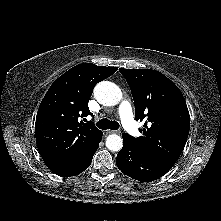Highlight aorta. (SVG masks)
<instances>
[{
  "label": "aorta",
  "instance_id": "aorta-1",
  "mask_svg": "<svg viewBox=\"0 0 221 221\" xmlns=\"http://www.w3.org/2000/svg\"><path fill=\"white\" fill-rule=\"evenodd\" d=\"M94 96L100 104L114 106L122 99V92L116 84L102 81L94 88ZM106 147L114 152L120 151L123 147V140L119 135L111 134L106 138Z\"/></svg>",
  "mask_w": 221,
  "mask_h": 221
}]
</instances>
